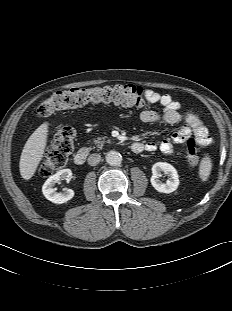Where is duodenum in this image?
I'll return each instance as SVG.
<instances>
[{"mask_svg":"<svg viewBox=\"0 0 232 311\" xmlns=\"http://www.w3.org/2000/svg\"><path fill=\"white\" fill-rule=\"evenodd\" d=\"M132 150L134 152H141L144 150V145L140 142H135L132 144ZM89 154V149L87 147H83L78 150V152L74 156V162L77 165H82L86 162V159Z\"/></svg>","mask_w":232,"mask_h":311,"instance_id":"obj_1","label":"duodenum"}]
</instances>
